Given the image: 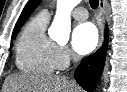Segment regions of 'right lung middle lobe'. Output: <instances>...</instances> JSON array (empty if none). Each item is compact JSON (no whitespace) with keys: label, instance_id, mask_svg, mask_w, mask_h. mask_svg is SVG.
Segmentation results:
<instances>
[{"label":"right lung middle lobe","instance_id":"right-lung-middle-lobe-1","mask_svg":"<svg viewBox=\"0 0 127 92\" xmlns=\"http://www.w3.org/2000/svg\"><path fill=\"white\" fill-rule=\"evenodd\" d=\"M15 34H16V33H15ZM15 34H13L12 38H14V37H15Z\"/></svg>","mask_w":127,"mask_h":92}]
</instances>
